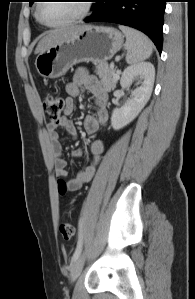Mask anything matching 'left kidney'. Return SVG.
<instances>
[{"label":"left kidney","instance_id":"5707ae66","mask_svg":"<svg viewBox=\"0 0 195 299\" xmlns=\"http://www.w3.org/2000/svg\"><path fill=\"white\" fill-rule=\"evenodd\" d=\"M155 78V68L150 62H142L127 67L121 77V87L127 89L134 79L140 81V86L131 92V99L121 108H115L111 116V125L119 130L132 122L150 99Z\"/></svg>","mask_w":195,"mask_h":299}]
</instances>
